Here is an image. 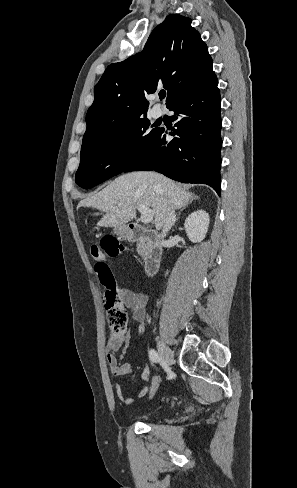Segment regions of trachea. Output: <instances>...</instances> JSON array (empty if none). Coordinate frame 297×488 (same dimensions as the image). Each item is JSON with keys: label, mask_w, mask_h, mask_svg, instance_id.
Returning a JSON list of instances; mask_svg holds the SVG:
<instances>
[{"label": "trachea", "mask_w": 297, "mask_h": 488, "mask_svg": "<svg viewBox=\"0 0 297 488\" xmlns=\"http://www.w3.org/2000/svg\"><path fill=\"white\" fill-rule=\"evenodd\" d=\"M165 96H166V92L164 90H162V91L159 92V98L160 99H164Z\"/></svg>", "instance_id": "trachea-1"}]
</instances>
